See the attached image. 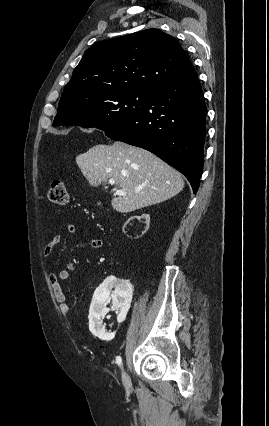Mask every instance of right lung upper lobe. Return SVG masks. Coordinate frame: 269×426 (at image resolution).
Listing matches in <instances>:
<instances>
[{
  "instance_id": "right-lung-upper-lobe-1",
  "label": "right lung upper lobe",
  "mask_w": 269,
  "mask_h": 426,
  "mask_svg": "<svg viewBox=\"0 0 269 426\" xmlns=\"http://www.w3.org/2000/svg\"><path fill=\"white\" fill-rule=\"evenodd\" d=\"M193 70L174 37L159 29H146L90 47L61 98L90 99L124 91L149 93Z\"/></svg>"
}]
</instances>
